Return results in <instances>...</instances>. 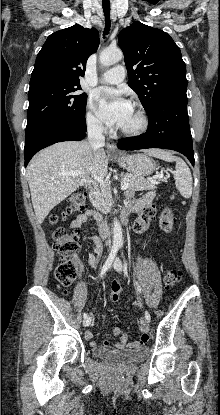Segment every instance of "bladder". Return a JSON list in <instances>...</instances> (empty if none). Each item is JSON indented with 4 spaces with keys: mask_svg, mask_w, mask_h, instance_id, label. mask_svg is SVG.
<instances>
[{
    "mask_svg": "<svg viewBox=\"0 0 220 415\" xmlns=\"http://www.w3.org/2000/svg\"><path fill=\"white\" fill-rule=\"evenodd\" d=\"M93 354L112 364L127 365L144 360L148 355V348L138 347L128 350H113L103 347H94L92 349Z\"/></svg>",
    "mask_w": 220,
    "mask_h": 415,
    "instance_id": "1",
    "label": "bladder"
}]
</instances>
